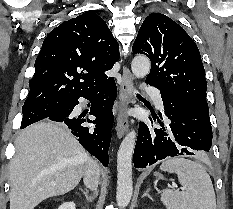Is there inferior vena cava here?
<instances>
[{"label": "inferior vena cava", "instance_id": "602c4592", "mask_svg": "<svg viewBox=\"0 0 233 209\" xmlns=\"http://www.w3.org/2000/svg\"><path fill=\"white\" fill-rule=\"evenodd\" d=\"M99 180H100V169L98 163L96 160L90 159L88 166L83 175V182L87 186V188L92 190L94 194H97Z\"/></svg>", "mask_w": 233, "mask_h": 209}]
</instances>
